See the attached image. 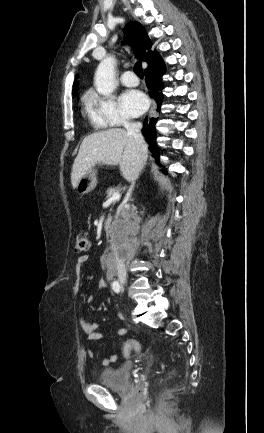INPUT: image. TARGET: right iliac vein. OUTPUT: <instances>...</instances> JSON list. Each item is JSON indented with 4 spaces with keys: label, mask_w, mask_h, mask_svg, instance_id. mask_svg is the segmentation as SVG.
<instances>
[{
    "label": "right iliac vein",
    "mask_w": 264,
    "mask_h": 433,
    "mask_svg": "<svg viewBox=\"0 0 264 433\" xmlns=\"http://www.w3.org/2000/svg\"><path fill=\"white\" fill-rule=\"evenodd\" d=\"M120 282H121L122 285H125V284H126V279L121 278V279H120Z\"/></svg>",
    "instance_id": "obj_1"
}]
</instances>
